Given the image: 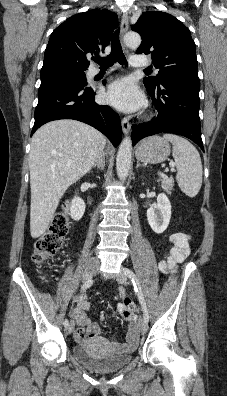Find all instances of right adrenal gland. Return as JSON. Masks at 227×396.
<instances>
[{"instance_id": "obj_1", "label": "right adrenal gland", "mask_w": 227, "mask_h": 396, "mask_svg": "<svg viewBox=\"0 0 227 396\" xmlns=\"http://www.w3.org/2000/svg\"><path fill=\"white\" fill-rule=\"evenodd\" d=\"M105 162L102 154L98 157V159L94 163V168L97 167L99 170H104Z\"/></svg>"}]
</instances>
